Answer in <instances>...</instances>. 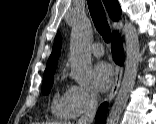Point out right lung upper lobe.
I'll list each match as a JSON object with an SVG mask.
<instances>
[{"label": "right lung upper lobe", "instance_id": "obj_1", "mask_svg": "<svg viewBox=\"0 0 156 124\" xmlns=\"http://www.w3.org/2000/svg\"><path fill=\"white\" fill-rule=\"evenodd\" d=\"M105 7L109 13V16L113 20H118L121 16V8L117 0H103ZM61 50V35L58 33L54 40L52 53L48 59L47 66L44 72L45 76H50L55 73L57 60Z\"/></svg>", "mask_w": 156, "mask_h": 124}]
</instances>
